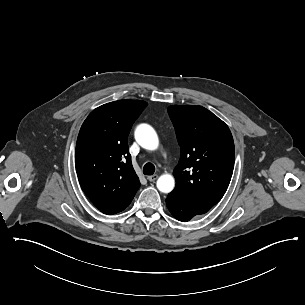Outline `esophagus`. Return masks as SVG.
I'll return each instance as SVG.
<instances>
[{"label": "esophagus", "instance_id": "obj_1", "mask_svg": "<svg viewBox=\"0 0 305 305\" xmlns=\"http://www.w3.org/2000/svg\"><path fill=\"white\" fill-rule=\"evenodd\" d=\"M158 178V175H151V176H148L147 179L149 181H155L156 179Z\"/></svg>", "mask_w": 305, "mask_h": 305}]
</instances>
